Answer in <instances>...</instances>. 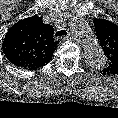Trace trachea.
I'll return each instance as SVG.
<instances>
[{
	"label": "trachea",
	"instance_id": "trachea-1",
	"mask_svg": "<svg viewBox=\"0 0 118 118\" xmlns=\"http://www.w3.org/2000/svg\"><path fill=\"white\" fill-rule=\"evenodd\" d=\"M67 35V32L65 30H60V31H57L55 36L58 37V36H66Z\"/></svg>",
	"mask_w": 118,
	"mask_h": 118
}]
</instances>
